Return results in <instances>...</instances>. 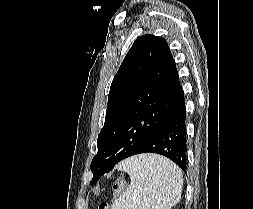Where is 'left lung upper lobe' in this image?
<instances>
[{"mask_svg":"<svg viewBox=\"0 0 253 209\" xmlns=\"http://www.w3.org/2000/svg\"><path fill=\"white\" fill-rule=\"evenodd\" d=\"M180 91L166 40L150 34L138 37L110 87L98 153L91 162V182L144 145L170 115Z\"/></svg>","mask_w":253,"mask_h":209,"instance_id":"1","label":"left lung upper lobe"}]
</instances>
